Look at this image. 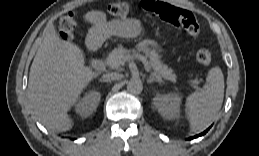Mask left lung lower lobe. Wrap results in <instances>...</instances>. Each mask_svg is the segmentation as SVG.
<instances>
[{
	"label": "left lung lower lobe",
	"mask_w": 259,
	"mask_h": 156,
	"mask_svg": "<svg viewBox=\"0 0 259 156\" xmlns=\"http://www.w3.org/2000/svg\"><path fill=\"white\" fill-rule=\"evenodd\" d=\"M209 129H210V127H209L207 130H205L203 133L198 134V135H196V136H193V137H191V138H189V139H193V138H197V137H199V136H202V135L206 134V132H208Z\"/></svg>",
	"instance_id": "0a47b994"
}]
</instances>
